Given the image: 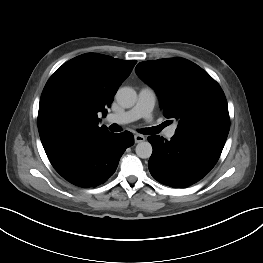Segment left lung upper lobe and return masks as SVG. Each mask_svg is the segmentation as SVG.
<instances>
[{"instance_id": "5c2ea615", "label": "left lung upper lobe", "mask_w": 263, "mask_h": 263, "mask_svg": "<svg viewBox=\"0 0 263 263\" xmlns=\"http://www.w3.org/2000/svg\"><path fill=\"white\" fill-rule=\"evenodd\" d=\"M135 72L155 89L166 118L177 132L227 138L230 119L225 95L202 68L182 58L140 62Z\"/></svg>"}]
</instances>
